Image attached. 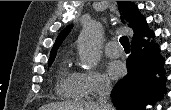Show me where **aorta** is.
Instances as JSON below:
<instances>
[{"label": "aorta", "mask_w": 171, "mask_h": 110, "mask_svg": "<svg viewBox=\"0 0 171 110\" xmlns=\"http://www.w3.org/2000/svg\"><path fill=\"white\" fill-rule=\"evenodd\" d=\"M101 27L93 24L87 27L81 34L78 42V51L81 66L90 70L97 65L100 59Z\"/></svg>", "instance_id": "762f6f07"}]
</instances>
